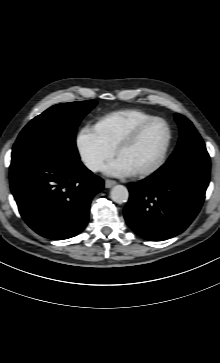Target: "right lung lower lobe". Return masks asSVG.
<instances>
[{
  "label": "right lung lower lobe",
  "mask_w": 220,
  "mask_h": 363,
  "mask_svg": "<svg viewBox=\"0 0 220 363\" xmlns=\"http://www.w3.org/2000/svg\"><path fill=\"white\" fill-rule=\"evenodd\" d=\"M10 185L25 222L39 235L60 240L85 228L103 180L80 160L46 151L11 163Z\"/></svg>",
  "instance_id": "obj_1"
}]
</instances>
